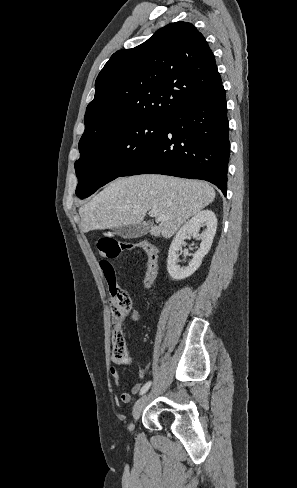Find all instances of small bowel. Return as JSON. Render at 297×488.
<instances>
[{"instance_id":"obj_1","label":"small bowel","mask_w":297,"mask_h":488,"mask_svg":"<svg viewBox=\"0 0 297 488\" xmlns=\"http://www.w3.org/2000/svg\"><path fill=\"white\" fill-rule=\"evenodd\" d=\"M140 319V314L138 311H130L128 315H126L122 320H121V325L127 322L128 320L131 321H138ZM110 375L113 380V383L117 389H121V378H120V372L116 367H111L110 368ZM147 375L146 369H141L139 371V378L144 379ZM142 389V383L138 382L135 383L130 390V393L128 392H123L121 393V401L123 403H129L132 399V394H137L139 391Z\"/></svg>"}]
</instances>
